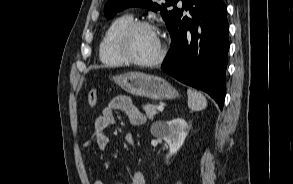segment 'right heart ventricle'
Segmentation results:
<instances>
[{
	"label": "right heart ventricle",
	"instance_id": "e07e8e85",
	"mask_svg": "<svg viewBox=\"0 0 293 184\" xmlns=\"http://www.w3.org/2000/svg\"><path fill=\"white\" fill-rule=\"evenodd\" d=\"M132 21V16L122 15L109 25L99 45V57L103 64L117 67L126 63L116 50V39L120 31Z\"/></svg>",
	"mask_w": 293,
	"mask_h": 184
}]
</instances>
